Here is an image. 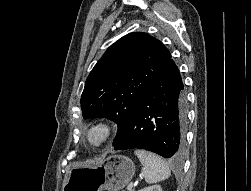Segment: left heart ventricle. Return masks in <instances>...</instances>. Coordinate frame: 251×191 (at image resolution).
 <instances>
[{
	"label": "left heart ventricle",
	"mask_w": 251,
	"mask_h": 191,
	"mask_svg": "<svg viewBox=\"0 0 251 191\" xmlns=\"http://www.w3.org/2000/svg\"><path fill=\"white\" fill-rule=\"evenodd\" d=\"M85 141L92 146H99L103 141V136L100 131L94 130L84 136Z\"/></svg>",
	"instance_id": "obj_1"
}]
</instances>
